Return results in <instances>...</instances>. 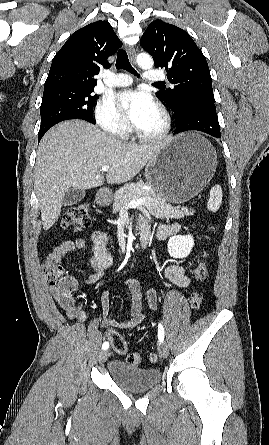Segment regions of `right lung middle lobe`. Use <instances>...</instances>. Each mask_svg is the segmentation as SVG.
Returning <instances> with one entry per match:
<instances>
[{
  "mask_svg": "<svg viewBox=\"0 0 269 445\" xmlns=\"http://www.w3.org/2000/svg\"><path fill=\"white\" fill-rule=\"evenodd\" d=\"M88 88H63L43 92L40 107V140L53 125L68 119H83L95 123L93 107L98 96Z\"/></svg>",
  "mask_w": 269,
  "mask_h": 445,
  "instance_id": "dd1d6c3e",
  "label": "right lung middle lobe"
}]
</instances>
